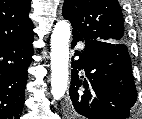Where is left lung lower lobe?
Here are the masks:
<instances>
[{
	"mask_svg": "<svg viewBox=\"0 0 142 119\" xmlns=\"http://www.w3.org/2000/svg\"><path fill=\"white\" fill-rule=\"evenodd\" d=\"M79 41L72 62L69 96L72 109L87 119H126L137 100L127 46L99 40H84L73 33L72 48ZM73 60V59H72ZM84 70L85 76L79 75Z\"/></svg>",
	"mask_w": 142,
	"mask_h": 119,
	"instance_id": "0a47b994",
	"label": "left lung lower lobe"
}]
</instances>
